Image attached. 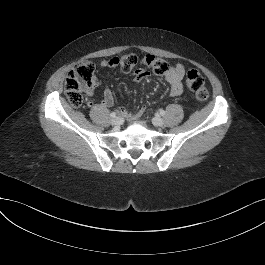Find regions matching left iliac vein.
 Instances as JSON below:
<instances>
[{
    "instance_id": "left-iliac-vein-1",
    "label": "left iliac vein",
    "mask_w": 265,
    "mask_h": 265,
    "mask_svg": "<svg viewBox=\"0 0 265 265\" xmlns=\"http://www.w3.org/2000/svg\"><path fill=\"white\" fill-rule=\"evenodd\" d=\"M152 122H153V124H154L156 127H161V126H163V124H164L163 119H162L161 117H158V116L154 117V118L152 119Z\"/></svg>"
}]
</instances>
